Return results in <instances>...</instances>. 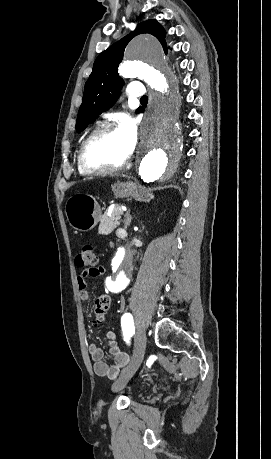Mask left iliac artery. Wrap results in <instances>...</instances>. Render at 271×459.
<instances>
[{"instance_id": "obj_1", "label": "left iliac artery", "mask_w": 271, "mask_h": 459, "mask_svg": "<svg viewBox=\"0 0 271 459\" xmlns=\"http://www.w3.org/2000/svg\"><path fill=\"white\" fill-rule=\"evenodd\" d=\"M133 326L134 321L132 315L130 313H125L121 318V333L124 336V341H126V343H129V336H132L134 333Z\"/></svg>"}]
</instances>
